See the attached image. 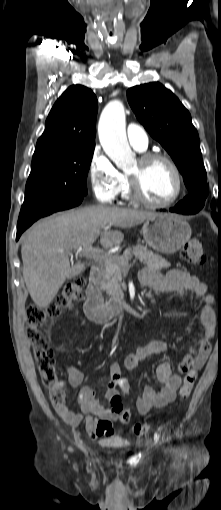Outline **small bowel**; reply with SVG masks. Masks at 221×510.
Masks as SVG:
<instances>
[{"instance_id":"c3829d8e","label":"small bowel","mask_w":221,"mask_h":510,"mask_svg":"<svg viewBox=\"0 0 221 510\" xmlns=\"http://www.w3.org/2000/svg\"><path fill=\"white\" fill-rule=\"evenodd\" d=\"M140 281L143 285L158 291H172L180 296L184 292H192L202 303L200 312V334L194 339L188 353L177 366V373H173L171 366L164 362L155 369V377L162 384L160 390H155L151 385H146L142 396L136 401V409L140 415H147L152 408H162L172 402L181 384L182 375L188 371L201 369L210 354V339L214 335L216 318L213 310L214 298L208 293L207 285L198 277L191 275L185 270L170 269L165 274L145 267L140 271ZM169 351L168 345L159 340L149 342L135 351L127 354L123 363H114L110 367L111 379L101 389L97 390L89 386L80 389L77 402L81 413H75L66 405L64 409L57 410L60 417L70 426L77 427L83 421L85 415V428L92 438H106L112 435V423L120 420V414L114 407H106L99 400V394L105 399H111L115 394L127 392L129 382L123 375V369L133 371L140 361L157 354H165ZM64 370L68 375V384L72 388L79 387L83 382V374L70 364H64ZM122 378L124 385L117 384L116 379Z\"/></svg>"}]
</instances>
